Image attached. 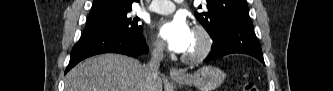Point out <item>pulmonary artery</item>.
<instances>
[{
  "label": "pulmonary artery",
  "instance_id": "pulmonary-artery-1",
  "mask_svg": "<svg viewBox=\"0 0 333 91\" xmlns=\"http://www.w3.org/2000/svg\"><path fill=\"white\" fill-rule=\"evenodd\" d=\"M147 9L158 14H168L174 11L175 5L169 0H154Z\"/></svg>",
  "mask_w": 333,
  "mask_h": 91
}]
</instances>
